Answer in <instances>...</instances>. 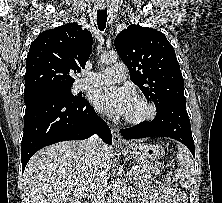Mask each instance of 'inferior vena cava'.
Segmentation results:
<instances>
[{"instance_id":"602c4592","label":"inferior vena cava","mask_w":222,"mask_h":203,"mask_svg":"<svg viewBox=\"0 0 222 203\" xmlns=\"http://www.w3.org/2000/svg\"><path fill=\"white\" fill-rule=\"evenodd\" d=\"M100 145L101 140L97 135H93L85 141V153L87 157L97 164L95 173L89 182L92 203H106L105 197L107 192L108 175L104 165H101Z\"/></svg>"}]
</instances>
